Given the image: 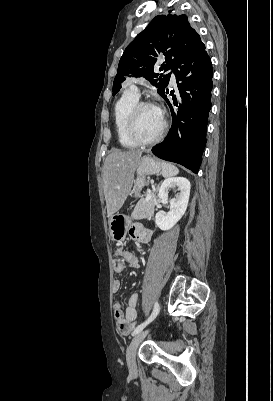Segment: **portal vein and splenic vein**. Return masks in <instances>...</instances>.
Masks as SVG:
<instances>
[{
    "mask_svg": "<svg viewBox=\"0 0 273 401\" xmlns=\"http://www.w3.org/2000/svg\"><path fill=\"white\" fill-rule=\"evenodd\" d=\"M151 198H152V195H151V194H147V196H146V200H147V201H150V200H151Z\"/></svg>",
    "mask_w": 273,
    "mask_h": 401,
    "instance_id": "18ae733b",
    "label": "portal vein and splenic vein"
}]
</instances>
